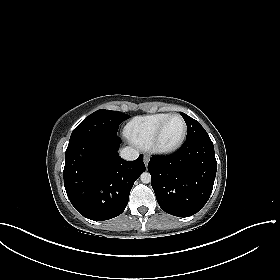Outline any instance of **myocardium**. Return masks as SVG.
<instances>
[{"label": "myocardium", "instance_id": "f54148a6", "mask_svg": "<svg viewBox=\"0 0 280 280\" xmlns=\"http://www.w3.org/2000/svg\"><path fill=\"white\" fill-rule=\"evenodd\" d=\"M174 117H178L182 120L183 132H182L181 136L179 137V139L177 141H175L174 143H171L168 145H163L161 143V137L163 135L164 129H165L167 123L169 122V120ZM187 132H188V123H187V120L185 119V117L183 115H181L180 113L169 114L158 126L156 133L150 142L149 148L153 153L158 154V155L171 154L174 151H176L183 144V142L186 139Z\"/></svg>", "mask_w": 280, "mask_h": 280}]
</instances>
